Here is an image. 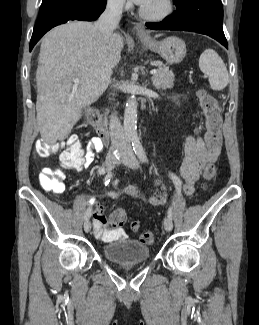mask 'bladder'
<instances>
[{"label": "bladder", "mask_w": 259, "mask_h": 325, "mask_svg": "<svg viewBox=\"0 0 259 325\" xmlns=\"http://www.w3.org/2000/svg\"><path fill=\"white\" fill-rule=\"evenodd\" d=\"M102 251L108 261L121 265L143 263L150 256V249L145 243L129 238L108 243Z\"/></svg>", "instance_id": "obj_1"}]
</instances>
